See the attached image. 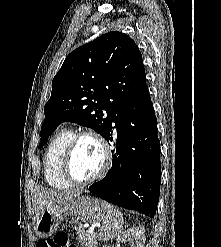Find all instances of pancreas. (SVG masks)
Listing matches in <instances>:
<instances>
[{
    "mask_svg": "<svg viewBox=\"0 0 221 247\" xmlns=\"http://www.w3.org/2000/svg\"><path fill=\"white\" fill-rule=\"evenodd\" d=\"M75 224L76 226L74 227V229L76 230L80 238L81 245L85 247H96L97 241L95 235L89 234L88 232L85 233L82 225L78 221H75Z\"/></svg>",
    "mask_w": 221,
    "mask_h": 247,
    "instance_id": "pancreas-1",
    "label": "pancreas"
}]
</instances>
